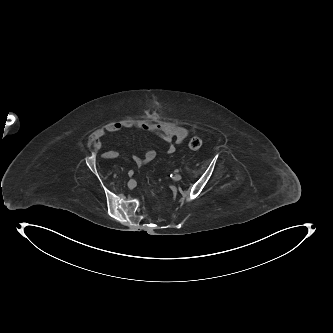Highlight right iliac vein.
<instances>
[{
	"label": "right iliac vein",
	"instance_id": "obj_1",
	"mask_svg": "<svg viewBox=\"0 0 333 333\" xmlns=\"http://www.w3.org/2000/svg\"><path fill=\"white\" fill-rule=\"evenodd\" d=\"M129 189H134L136 187V181L131 179L127 183Z\"/></svg>",
	"mask_w": 333,
	"mask_h": 333
}]
</instances>
